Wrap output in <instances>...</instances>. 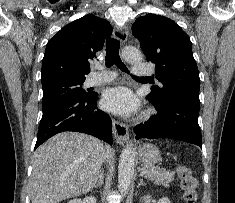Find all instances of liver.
<instances>
[{
  "instance_id": "obj_1",
  "label": "liver",
  "mask_w": 235,
  "mask_h": 203,
  "mask_svg": "<svg viewBox=\"0 0 235 203\" xmlns=\"http://www.w3.org/2000/svg\"><path fill=\"white\" fill-rule=\"evenodd\" d=\"M113 149L99 139L77 132L54 135L33 155L30 193L32 203H59L89 192Z\"/></svg>"
}]
</instances>
